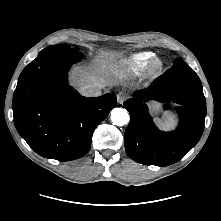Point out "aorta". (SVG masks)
Returning a JSON list of instances; mask_svg holds the SVG:
<instances>
[{
	"instance_id": "1",
	"label": "aorta",
	"mask_w": 221,
	"mask_h": 221,
	"mask_svg": "<svg viewBox=\"0 0 221 221\" xmlns=\"http://www.w3.org/2000/svg\"><path fill=\"white\" fill-rule=\"evenodd\" d=\"M129 114L124 108H114L111 111V120L117 126L126 125L129 122Z\"/></svg>"
}]
</instances>
